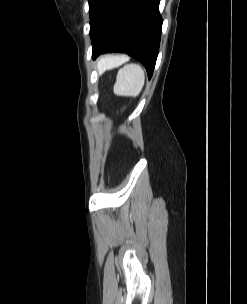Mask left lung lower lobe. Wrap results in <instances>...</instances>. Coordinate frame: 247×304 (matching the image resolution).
<instances>
[{
  "mask_svg": "<svg viewBox=\"0 0 247 304\" xmlns=\"http://www.w3.org/2000/svg\"><path fill=\"white\" fill-rule=\"evenodd\" d=\"M159 2L101 0L90 19L93 59L105 52H125L145 66L150 79L161 37Z\"/></svg>",
  "mask_w": 247,
  "mask_h": 304,
  "instance_id": "left-lung-lower-lobe-1",
  "label": "left lung lower lobe"
}]
</instances>
